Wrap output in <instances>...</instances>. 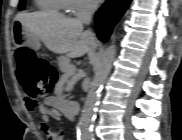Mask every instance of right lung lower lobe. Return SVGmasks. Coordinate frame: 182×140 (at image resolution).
Wrapping results in <instances>:
<instances>
[{
	"label": "right lung lower lobe",
	"instance_id": "1",
	"mask_svg": "<svg viewBox=\"0 0 182 140\" xmlns=\"http://www.w3.org/2000/svg\"><path fill=\"white\" fill-rule=\"evenodd\" d=\"M131 0H107L96 14L97 34L101 41L107 42L114 26L128 8Z\"/></svg>",
	"mask_w": 182,
	"mask_h": 140
}]
</instances>
